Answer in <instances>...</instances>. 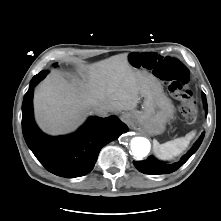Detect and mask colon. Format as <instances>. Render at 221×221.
I'll return each mask as SVG.
<instances>
[{
  "mask_svg": "<svg viewBox=\"0 0 221 221\" xmlns=\"http://www.w3.org/2000/svg\"><path fill=\"white\" fill-rule=\"evenodd\" d=\"M133 63L137 67L151 70L165 82L168 90L180 102L181 112L190 122L197 118L194 93L189 88V71L186 66L173 57H164L156 53H144L136 56Z\"/></svg>",
  "mask_w": 221,
  "mask_h": 221,
  "instance_id": "5ec220e1",
  "label": "colon"
}]
</instances>
